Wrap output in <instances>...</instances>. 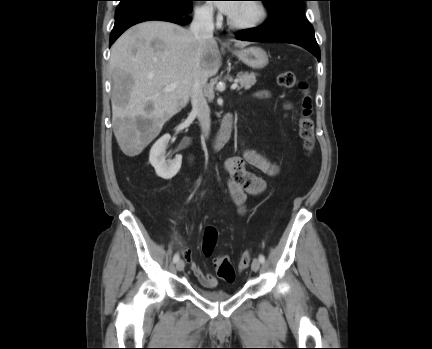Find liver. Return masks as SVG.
Returning <instances> with one entry per match:
<instances>
[{
    "label": "liver",
    "instance_id": "obj_1",
    "mask_svg": "<svg viewBox=\"0 0 432 349\" xmlns=\"http://www.w3.org/2000/svg\"><path fill=\"white\" fill-rule=\"evenodd\" d=\"M249 42L235 41L243 48ZM221 56L215 39L199 43L190 30L164 21L135 25L111 47L112 125L122 152L139 155L191 97L196 70L207 81ZM177 83L171 90L166 88Z\"/></svg>",
    "mask_w": 432,
    "mask_h": 349
}]
</instances>
